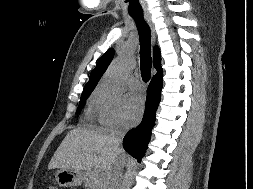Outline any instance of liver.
Returning a JSON list of instances; mask_svg holds the SVG:
<instances>
[{"mask_svg": "<svg viewBox=\"0 0 253 189\" xmlns=\"http://www.w3.org/2000/svg\"><path fill=\"white\" fill-rule=\"evenodd\" d=\"M127 159L122 149L118 153L111 137L101 135L93 130L78 127L70 131L54 153L48 168L71 169L75 171L99 172L102 183L114 164Z\"/></svg>", "mask_w": 253, "mask_h": 189, "instance_id": "1", "label": "liver"}]
</instances>
